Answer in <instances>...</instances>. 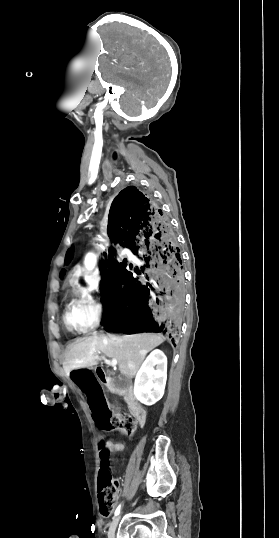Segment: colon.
Wrapping results in <instances>:
<instances>
[{"mask_svg":"<svg viewBox=\"0 0 279 538\" xmlns=\"http://www.w3.org/2000/svg\"><path fill=\"white\" fill-rule=\"evenodd\" d=\"M110 429L117 431L123 436L131 437L136 430V424L128 414H118L110 419ZM100 471L98 477L100 513L109 517L115 507L118 498V484L109 471L111 449L107 442H100Z\"/></svg>","mask_w":279,"mask_h":538,"instance_id":"1","label":"colon"}]
</instances>
